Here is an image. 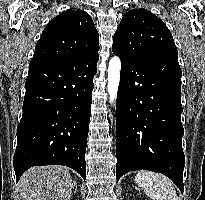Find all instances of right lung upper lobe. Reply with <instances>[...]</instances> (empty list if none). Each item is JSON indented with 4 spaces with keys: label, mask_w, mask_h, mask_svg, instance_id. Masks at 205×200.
I'll use <instances>...</instances> for the list:
<instances>
[{
    "label": "right lung upper lobe",
    "mask_w": 205,
    "mask_h": 200,
    "mask_svg": "<svg viewBox=\"0 0 205 200\" xmlns=\"http://www.w3.org/2000/svg\"><path fill=\"white\" fill-rule=\"evenodd\" d=\"M99 35L90 15L66 10L52 19L35 46L32 61L74 62L98 54Z\"/></svg>",
    "instance_id": "right-lung-upper-lobe-1"
}]
</instances>
